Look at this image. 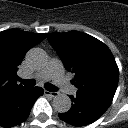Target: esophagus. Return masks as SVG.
I'll list each match as a JSON object with an SVG mask.
<instances>
[{"label": "esophagus", "instance_id": "1", "mask_svg": "<svg viewBox=\"0 0 128 128\" xmlns=\"http://www.w3.org/2000/svg\"><path fill=\"white\" fill-rule=\"evenodd\" d=\"M44 93L45 95L50 96L52 98L56 97L58 94L57 92H49V91H45Z\"/></svg>", "mask_w": 128, "mask_h": 128}]
</instances>
